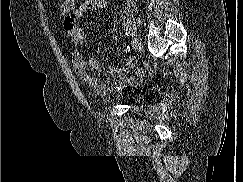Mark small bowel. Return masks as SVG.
<instances>
[{
    "mask_svg": "<svg viewBox=\"0 0 243 182\" xmlns=\"http://www.w3.org/2000/svg\"><path fill=\"white\" fill-rule=\"evenodd\" d=\"M106 7L107 0H84L77 11L65 17L63 24L65 32L71 39V58L78 79L100 96H108L120 91L126 84L139 81L144 74L143 67L136 68L137 60L135 58L129 59L123 67L111 66L109 68V74L112 77L110 83H101L88 72L89 68L99 70L101 65L96 59H85L82 56L81 49L86 36L80 23L92 12L104 10ZM132 73H134L133 76H131Z\"/></svg>",
    "mask_w": 243,
    "mask_h": 182,
    "instance_id": "c3829d8e",
    "label": "small bowel"
}]
</instances>
